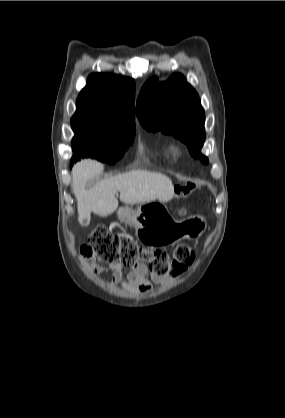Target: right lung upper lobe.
<instances>
[{
  "instance_id": "cb5924a9",
  "label": "right lung upper lobe",
  "mask_w": 285,
  "mask_h": 418,
  "mask_svg": "<svg viewBox=\"0 0 285 418\" xmlns=\"http://www.w3.org/2000/svg\"><path fill=\"white\" fill-rule=\"evenodd\" d=\"M135 82L115 74L94 73L88 77L76 102L73 117L135 127Z\"/></svg>"
}]
</instances>
